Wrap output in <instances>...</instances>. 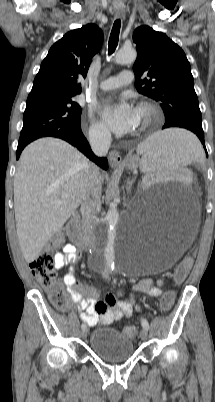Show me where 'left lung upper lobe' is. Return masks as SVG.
<instances>
[{"instance_id": "5c2ea615", "label": "left lung upper lobe", "mask_w": 215, "mask_h": 402, "mask_svg": "<svg viewBox=\"0 0 215 402\" xmlns=\"http://www.w3.org/2000/svg\"><path fill=\"white\" fill-rule=\"evenodd\" d=\"M133 41L137 49L133 71L138 92L160 103L165 122L181 120L202 126L191 67L184 51L164 33L148 26L138 27Z\"/></svg>"}]
</instances>
